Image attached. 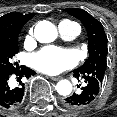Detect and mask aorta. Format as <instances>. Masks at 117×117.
Segmentation results:
<instances>
[{
	"label": "aorta",
	"instance_id": "aorta-1",
	"mask_svg": "<svg viewBox=\"0 0 117 117\" xmlns=\"http://www.w3.org/2000/svg\"><path fill=\"white\" fill-rule=\"evenodd\" d=\"M35 38L41 43L53 42L57 36L58 31L55 25L49 21H40L34 29ZM58 94L68 96L72 92V84L68 80H61L56 85Z\"/></svg>",
	"mask_w": 117,
	"mask_h": 117
}]
</instances>
